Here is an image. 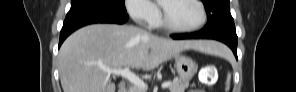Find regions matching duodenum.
Wrapping results in <instances>:
<instances>
[{
    "label": "duodenum",
    "mask_w": 296,
    "mask_h": 92,
    "mask_svg": "<svg viewBox=\"0 0 296 92\" xmlns=\"http://www.w3.org/2000/svg\"><path fill=\"white\" fill-rule=\"evenodd\" d=\"M129 91H130L129 89L122 90V92H129Z\"/></svg>",
    "instance_id": "obj_1"
}]
</instances>
